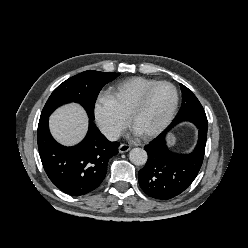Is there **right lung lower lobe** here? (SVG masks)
I'll use <instances>...</instances> for the list:
<instances>
[{"label": "right lung lower lobe", "mask_w": 248, "mask_h": 248, "mask_svg": "<svg viewBox=\"0 0 248 248\" xmlns=\"http://www.w3.org/2000/svg\"><path fill=\"white\" fill-rule=\"evenodd\" d=\"M48 119L39 120L37 138L40 158L49 179L72 196L93 191L105 178L108 160L118 153L119 143L110 142L90 119L82 142L73 147L62 146L51 136Z\"/></svg>", "instance_id": "98d812e1"}]
</instances>
